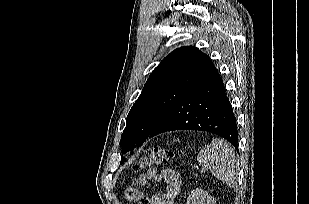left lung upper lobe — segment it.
<instances>
[{
  "instance_id": "5c2ea615",
  "label": "left lung upper lobe",
  "mask_w": 309,
  "mask_h": 204,
  "mask_svg": "<svg viewBox=\"0 0 309 204\" xmlns=\"http://www.w3.org/2000/svg\"><path fill=\"white\" fill-rule=\"evenodd\" d=\"M217 73L209 56L198 48L184 46L168 54L151 73L127 116L120 141L123 152L141 145L176 102Z\"/></svg>"
}]
</instances>
